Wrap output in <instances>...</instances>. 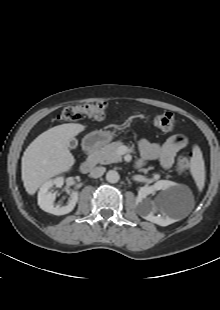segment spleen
<instances>
[{"label":"spleen","instance_id":"obj_1","mask_svg":"<svg viewBox=\"0 0 220 310\" xmlns=\"http://www.w3.org/2000/svg\"><path fill=\"white\" fill-rule=\"evenodd\" d=\"M191 174L199 190H202L205 184V166L202 153L198 146H195L193 149Z\"/></svg>","mask_w":220,"mask_h":310}]
</instances>
